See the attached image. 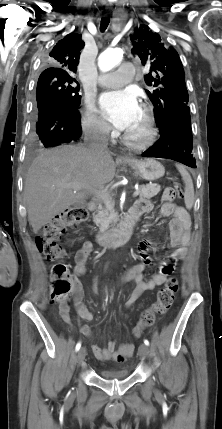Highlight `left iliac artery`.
Returning <instances> with one entry per match:
<instances>
[{
    "mask_svg": "<svg viewBox=\"0 0 222 429\" xmlns=\"http://www.w3.org/2000/svg\"><path fill=\"white\" fill-rule=\"evenodd\" d=\"M144 344L149 346V341L147 339L144 340Z\"/></svg>",
    "mask_w": 222,
    "mask_h": 429,
    "instance_id": "left-iliac-artery-1",
    "label": "left iliac artery"
}]
</instances>
